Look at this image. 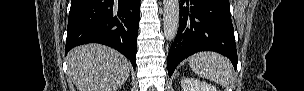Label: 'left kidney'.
Wrapping results in <instances>:
<instances>
[{
    "mask_svg": "<svg viewBox=\"0 0 304 91\" xmlns=\"http://www.w3.org/2000/svg\"><path fill=\"white\" fill-rule=\"evenodd\" d=\"M181 88L182 91H217L215 86L194 78H183Z\"/></svg>",
    "mask_w": 304,
    "mask_h": 91,
    "instance_id": "1",
    "label": "left kidney"
}]
</instances>
